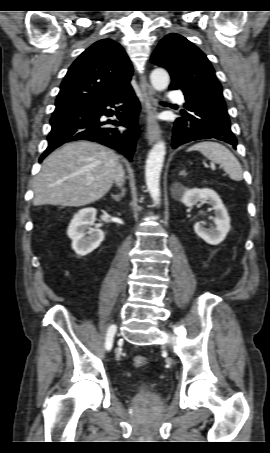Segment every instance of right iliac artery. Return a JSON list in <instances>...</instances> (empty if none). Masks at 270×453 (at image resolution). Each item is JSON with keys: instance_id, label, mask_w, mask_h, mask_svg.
I'll list each match as a JSON object with an SVG mask.
<instances>
[{"instance_id": "right-iliac-artery-1", "label": "right iliac artery", "mask_w": 270, "mask_h": 453, "mask_svg": "<svg viewBox=\"0 0 270 453\" xmlns=\"http://www.w3.org/2000/svg\"><path fill=\"white\" fill-rule=\"evenodd\" d=\"M116 332V326L111 325L108 329L107 337H106V347L108 350L112 348L113 337Z\"/></svg>"}]
</instances>
